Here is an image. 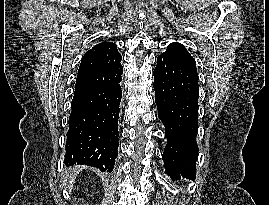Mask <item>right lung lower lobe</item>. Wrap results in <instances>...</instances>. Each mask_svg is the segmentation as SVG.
Returning <instances> with one entry per match:
<instances>
[{"mask_svg": "<svg viewBox=\"0 0 269 205\" xmlns=\"http://www.w3.org/2000/svg\"><path fill=\"white\" fill-rule=\"evenodd\" d=\"M120 80L108 86L75 90L71 103L65 164L111 172L118 155Z\"/></svg>", "mask_w": 269, "mask_h": 205, "instance_id": "right-lung-lower-lobe-1", "label": "right lung lower lobe"}]
</instances>
